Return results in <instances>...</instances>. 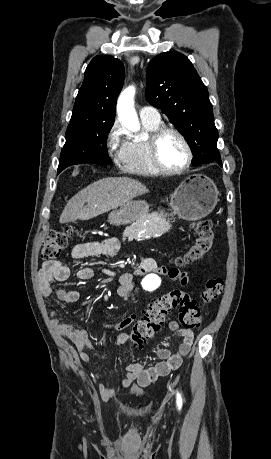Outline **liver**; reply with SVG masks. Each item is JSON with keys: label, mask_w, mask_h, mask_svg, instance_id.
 Returning a JSON list of instances; mask_svg holds the SVG:
<instances>
[{"label": "liver", "mask_w": 271, "mask_h": 459, "mask_svg": "<svg viewBox=\"0 0 271 459\" xmlns=\"http://www.w3.org/2000/svg\"><path fill=\"white\" fill-rule=\"evenodd\" d=\"M147 192L149 190L146 186L132 178H103L90 184L69 200L60 216V224L91 220L104 212L116 210L136 196ZM85 202L87 206H84Z\"/></svg>", "instance_id": "1"}]
</instances>
